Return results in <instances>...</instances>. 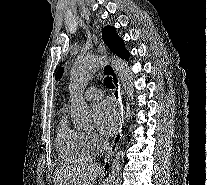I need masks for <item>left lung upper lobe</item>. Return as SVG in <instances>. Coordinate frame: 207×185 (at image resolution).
Returning <instances> with one entry per match:
<instances>
[{
    "label": "left lung upper lobe",
    "instance_id": "obj_1",
    "mask_svg": "<svg viewBox=\"0 0 207 185\" xmlns=\"http://www.w3.org/2000/svg\"><path fill=\"white\" fill-rule=\"evenodd\" d=\"M102 39L110 50L119 57L128 60L130 54L124 46V41L116 33V29L112 26H106L102 30ZM64 68H60L56 73V79L63 74Z\"/></svg>",
    "mask_w": 207,
    "mask_h": 185
}]
</instances>
